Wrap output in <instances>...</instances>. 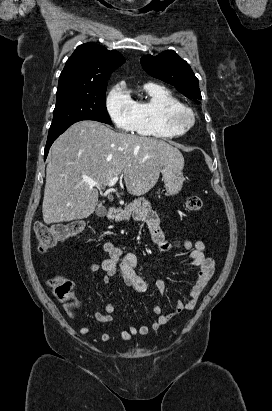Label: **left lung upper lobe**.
Masks as SVG:
<instances>
[{
    "mask_svg": "<svg viewBox=\"0 0 272 411\" xmlns=\"http://www.w3.org/2000/svg\"><path fill=\"white\" fill-rule=\"evenodd\" d=\"M143 69L151 76L175 86L183 95L201 100L199 81L189 64L175 51L167 50L157 56L146 55L140 60Z\"/></svg>",
    "mask_w": 272,
    "mask_h": 411,
    "instance_id": "5c2ea615",
    "label": "left lung upper lobe"
}]
</instances>
